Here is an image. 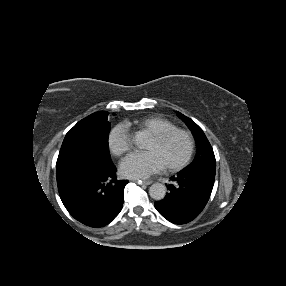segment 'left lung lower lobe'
<instances>
[{"mask_svg":"<svg viewBox=\"0 0 286 286\" xmlns=\"http://www.w3.org/2000/svg\"><path fill=\"white\" fill-rule=\"evenodd\" d=\"M216 167L181 170L170 179L169 193L155 202L156 210L168 221L185 224L196 218L211 195Z\"/></svg>","mask_w":286,"mask_h":286,"instance_id":"obj_1","label":"left lung lower lobe"}]
</instances>
